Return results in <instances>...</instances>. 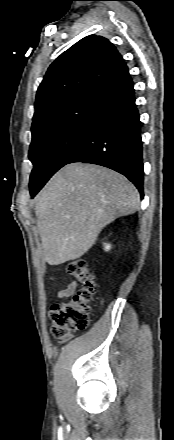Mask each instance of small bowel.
Listing matches in <instances>:
<instances>
[{
	"label": "small bowel",
	"instance_id": "c3829d8e",
	"mask_svg": "<svg viewBox=\"0 0 174 440\" xmlns=\"http://www.w3.org/2000/svg\"><path fill=\"white\" fill-rule=\"evenodd\" d=\"M77 290V283L71 282L65 288L59 290L57 292V296L62 299H67L72 296Z\"/></svg>",
	"mask_w": 174,
	"mask_h": 440
}]
</instances>
